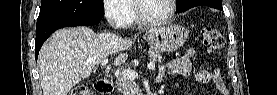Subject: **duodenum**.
<instances>
[{
    "label": "duodenum",
    "mask_w": 277,
    "mask_h": 95,
    "mask_svg": "<svg viewBox=\"0 0 277 95\" xmlns=\"http://www.w3.org/2000/svg\"><path fill=\"white\" fill-rule=\"evenodd\" d=\"M114 82L108 79L98 80L95 83V89L100 94H110L113 90Z\"/></svg>",
    "instance_id": "1"
}]
</instances>
